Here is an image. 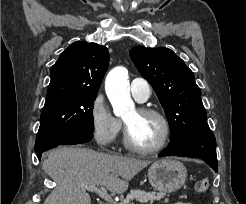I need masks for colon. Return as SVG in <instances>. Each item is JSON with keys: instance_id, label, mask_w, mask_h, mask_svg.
I'll use <instances>...</instances> for the list:
<instances>
[{"instance_id": "1", "label": "colon", "mask_w": 246, "mask_h": 204, "mask_svg": "<svg viewBox=\"0 0 246 204\" xmlns=\"http://www.w3.org/2000/svg\"><path fill=\"white\" fill-rule=\"evenodd\" d=\"M209 187V181L207 178L199 179L195 184V190L198 193H204Z\"/></svg>"}]
</instances>
